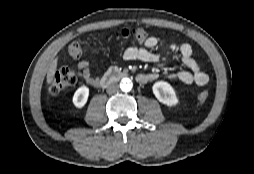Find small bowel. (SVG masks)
Wrapping results in <instances>:
<instances>
[{"mask_svg":"<svg viewBox=\"0 0 254 174\" xmlns=\"http://www.w3.org/2000/svg\"><path fill=\"white\" fill-rule=\"evenodd\" d=\"M158 39L149 37L142 46H130L123 52V59L126 61L141 60L144 62H158L162 59V54L155 51ZM171 50L179 55L180 62L186 67L185 70L178 71L169 76L170 79L178 81L184 85L203 86L208 82V76L201 68L194 57L193 49L188 43H172ZM92 61L84 60L77 64V69L82 72L83 80L94 87L100 84V79L93 75L91 67ZM158 78L156 73H142L138 75L141 83H150Z\"/></svg>","mask_w":254,"mask_h":174,"instance_id":"small-bowel-1","label":"small bowel"}]
</instances>
